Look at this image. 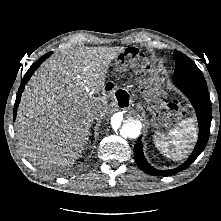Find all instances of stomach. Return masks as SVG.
I'll list each match as a JSON object with an SVG mask.
<instances>
[{
    "label": "stomach",
    "instance_id": "stomach-1",
    "mask_svg": "<svg viewBox=\"0 0 221 221\" xmlns=\"http://www.w3.org/2000/svg\"><path fill=\"white\" fill-rule=\"evenodd\" d=\"M141 88L148 103L147 109L152 113V123L158 127L166 125L169 119L179 115L175 100L166 96L162 85L163 79L156 68H144L140 72Z\"/></svg>",
    "mask_w": 221,
    "mask_h": 221
}]
</instances>
